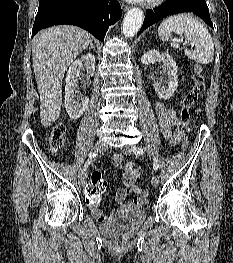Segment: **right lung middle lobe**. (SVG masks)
<instances>
[{
  "mask_svg": "<svg viewBox=\"0 0 233 263\" xmlns=\"http://www.w3.org/2000/svg\"><path fill=\"white\" fill-rule=\"evenodd\" d=\"M53 1H55V0H40L39 1V8L44 7Z\"/></svg>",
  "mask_w": 233,
  "mask_h": 263,
  "instance_id": "obj_1",
  "label": "right lung middle lobe"
}]
</instances>
